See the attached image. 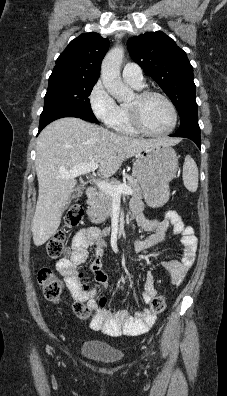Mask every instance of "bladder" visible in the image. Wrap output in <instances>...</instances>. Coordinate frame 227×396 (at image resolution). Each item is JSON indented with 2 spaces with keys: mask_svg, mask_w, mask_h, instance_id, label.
<instances>
[{
  "mask_svg": "<svg viewBox=\"0 0 227 396\" xmlns=\"http://www.w3.org/2000/svg\"><path fill=\"white\" fill-rule=\"evenodd\" d=\"M80 354L90 361L105 365L119 363L124 357L120 350L96 341L83 343L80 346Z\"/></svg>",
  "mask_w": 227,
  "mask_h": 396,
  "instance_id": "obj_1",
  "label": "bladder"
}]
</instances>
